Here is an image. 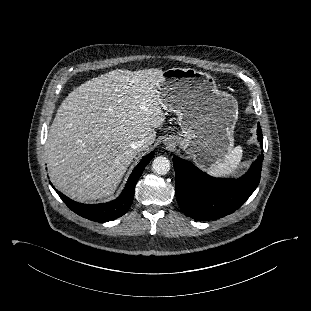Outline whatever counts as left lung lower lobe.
<instances>
[{"instance_id":"1","label":"left lung lower lobe","mask_w":311,"mask_h":311,"mask_svg":"<svg viewBox=\"0 0 311 311\" xmlns=\"http://www.w3.org/2000/svg\"><path fill=\"white\" fill-rule=\"evenodd\" d=\"M261 132V127H258V141L262 146ZM262 162L261 153L241 178L220 179L211 177L191 162L174 156L176 198L181 210L197 220L219 219L233 213L257 188Z\"/></svg>"}]
</instances>
